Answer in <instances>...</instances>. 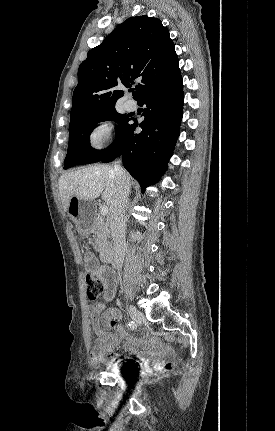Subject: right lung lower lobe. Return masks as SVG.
Returning <instances> with one entry per match:
<instances>
[{"instance_id": "right-lung-lower-lobe-1", "label": "right lung lower lobe", "mask_w": 275, "mask_h": 431, "mask_svg": "<svg viewBox=\"0 0 275 431\" xmlns=\"http://www.w3.org/2000/svg\"><path fill=\"white\" fill-rule=\"evenodd\" d=\"M183 102V82L178 69L166 82L138 100V104L146 105L144 120L138 124L136 118H131L121 139L100 161L111 162L122 154L124 167L144 191L167 168L180 133ZM138 125L141 133L134 132Z\"/></svg>"}]
</instances>
